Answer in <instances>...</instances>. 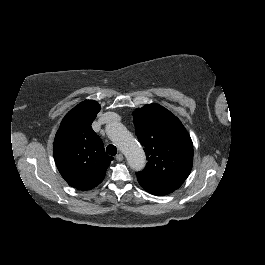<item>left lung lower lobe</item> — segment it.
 <instances>
[{"mask_svg": "<svg viewBox=\"0 0 265 265\" xmlns=\"http://www.w3.org/2000/svg\"><path fill=\"white\" fill-rule=\"evenodd\" d=\"M139 183L147 192H149L153 195L162 196V195H167V194L173 192L172 190L158 188V187L151 186V185H148V184H145L142 182H139Z\"/></svg>", "mask_w": 265, "mask_h": 265, "instance_id": "0a47b994", "label": "left lung lower lobe"}]
</instances>
